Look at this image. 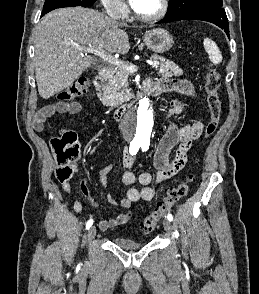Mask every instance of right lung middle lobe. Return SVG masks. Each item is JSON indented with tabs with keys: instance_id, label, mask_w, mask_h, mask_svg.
I'll return each instance as SVG.
<instances>
[{
	"instance_id": "1",
	"label": "right lung middle lobe",
	"mask_w": 259,
	"mask_h": 294,
	"mask_svg": "<svg viewBox=\"0 0 259 294\" xmlns=\"http://www.w3.org/2000/svg\"><path fill=\"white\" fill-rule=\"evenodd\" d=\"M96 0H45L41 15L62 7L91 6Z\"/></svg>"
}]
</instances>
